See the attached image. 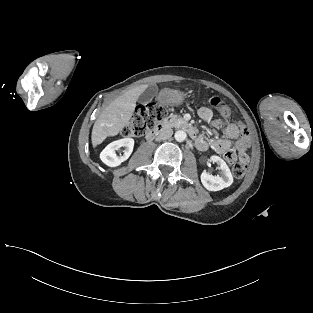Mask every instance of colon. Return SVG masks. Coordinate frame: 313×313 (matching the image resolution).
<instances>
[{
    "label": "colon",
    "instance_id": "obj_1",
    "mask_svg": "<svg viewBox=\"0 0 313 313\" xmlns=\"http://www.w3.org/2000/svg\"><path fill=\"white\" fill-rule=\"evenodd\" d=\"M209 103L220 116L229 117L231 115L232 109L225 100L219 97H212ZM166 115V108L160 104L150 102L139 105L131 120L123 127L121 134L124 137H140L148 134ZM225 159L233 164L232 172L235 177L240 178L244 176L247 170V157H238L230 152L225 156Z\"/></svg>",
    "mask_w": 313,
    "mask_h": 313
}]
</instances>
